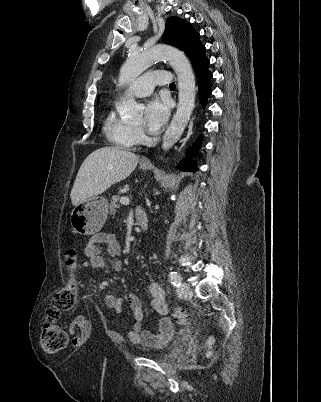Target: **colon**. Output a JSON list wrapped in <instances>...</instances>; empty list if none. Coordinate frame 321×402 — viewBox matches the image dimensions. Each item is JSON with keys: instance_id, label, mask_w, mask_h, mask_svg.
Segmentation results:
<instances>
[{"instance_id": "1", "label": "colon", "mask_w": 321, "mask_h": 402, "mask_svg": "<svg viewBox=\"0 0 321 402\" xmlns=\"http://www.w3.org/2000/svg\"><path fill=\"white\" fill-rule=\"evenodd\" d=\"M67 265L72 270L76 267V251L73 248L67 251ZM76 286L77 282L72 278L71 285L57 291L52 298L40 334L41 348L47 354L57 353L68 345L69 335L57 324V321L63 313L72 311L75 308L77 303ZM173 315L180 325L186 324L187 315L183 310L175 309ZM206 344L211 347L213 340L208 339Z\"/></svg>"}]
</instances>
